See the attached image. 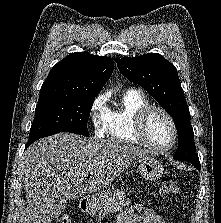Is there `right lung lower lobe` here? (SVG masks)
<instances>
[{
    "label": "right lung lower lobe",
    "mask_w": 221,
    "mask_h": 223,
    "mask_svg": "<svg viewBox=\"0 0 221 223\" xmlns=\"http://www.w3.org/2000/svg\"><path fill=\"white\" fill-rule=\"evenodd\" d=\"M31 144H32V143H27L25 149H26L29 145H31Z\"/></svg>",
    "instance_id": "obj_1"
}]
</instances>
